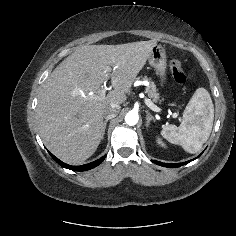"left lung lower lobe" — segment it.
<instances>
[{
	"mask_svg": "<svg viewBox=\"0 0 236 236\" xmlns=\"http://www.w3.org/2000/svg\"><path fill=\"white\" fill-rule=\"evenodd\" d=\"M190 161H192V160H190ZM190 161L183 162V163H171V164L170 163H162L159 161H153V162L157 165L164 166V167H180L182 165L189 163Z\"/></svg>",
	"mask_w": 236,
	"mask_h": 236,
	"instance_id": "1",
	"label": "left lung lower lobe"
}]
</instances>
